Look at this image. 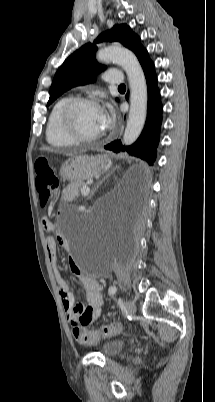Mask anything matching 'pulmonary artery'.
<instances>
[{
    "label": "pulmonary artery",
    "mask_w": 215,
    "mask_h": 402,
    "mask_svg": "<svg viewBox=\"0 0 215 402\" xmlns=\"http://www.w3.org/2000/svg\"><path fill=\"white\" fill-rule=\"evenodd\" d=\"M104 80L111 84H122L123 76L120 72L116 70H109L104 73Z\"/></svg>",
    "instance_id": "pulmonary-artery-1"
}]
</instances>
